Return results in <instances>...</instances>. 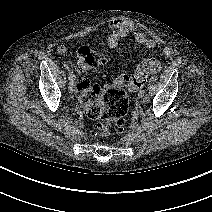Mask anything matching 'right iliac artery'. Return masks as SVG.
Listing matches in <instances>:
<instances>
[{
  "label": "right iliac artery",
  "instance_id": "1",
  "mask_svg": "<svg viewBox=\"0 0 212 212\" xmlns=\"http://www.w3.org/2000/svg\"><path fill=\"white\" fill-rule=\"evenodd\" d=\"M68 71H69V75H68L69 80L73 81L74 80V75L72 74V72H70V70H68Z\"/></svg>",
  "mask_w": 212,
  "mask_h": 212
}]
</instances>
